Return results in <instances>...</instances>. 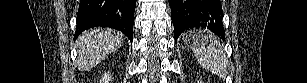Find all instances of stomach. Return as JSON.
Instances as JSON below:
<instances>
[{"mask_svg": "<svg viewBox=\"0 0 307 83\" xmlns=\"http://www.w3.org/2000/svg\"><path fill=\"white\" fill-rule=\"evenodd\" d=\"M189 34V33H188ZM185 40V39H184ZM186 43L190 44L192 46V43L189 42L188 40H185Z\"/></svg>", "mask_w": 307, "mask_h": 83, "instance_id": "1", "label": "stomach"}]
</instances>
